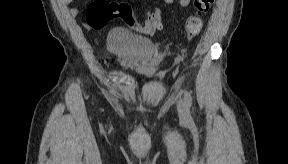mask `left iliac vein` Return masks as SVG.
Listing matches in <instances>:
<instances>
[{"instance_id":"4c4485c4","label":"left iliac vein","mask_w":288,"mask_h":164,"mask_svg":"<svg viewBox=\"0 0 288 164\" xmlns=\"http://www.w3.org/2000/svg\"><path fill=\"white\" fill-rule=\"evenodd\" d=\"M177 110H178V115L182 119H187L188 118V113L186 111L185 105L182 100H179L177 103Z\"/></svg>"}]
</instances>
